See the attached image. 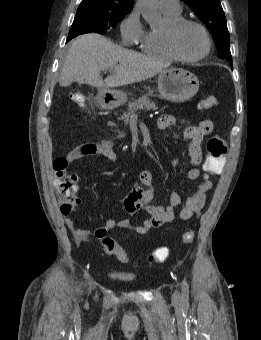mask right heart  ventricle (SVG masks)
Here are the masks:
<instances>
[{"label": "right heart ventricle", "instance_id": "right-heart-ventricle-1", "mask_svg": "<svg viewBox=\"0 0 261 340\" xmlns=\"http://www.w3.org/2000/svg\"><path fill=\"white\" fill-rule=\"evenodd\" d=\"M165 18V27L159 30H147L142 33L138 39L139 47L146 55L160 60H176L170 52L166 42L167 28L182 18L181 13H171L163 11Z\"/></svg>", "mask_w": 261, "mask_h": 340}]
</instances>
